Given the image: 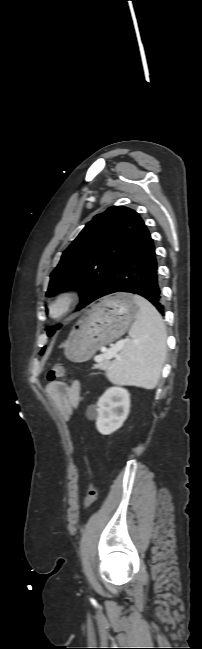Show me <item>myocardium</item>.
<instances>
[{
    "label": "myocardium",
    "instance_id": "myocardium-1",
    "mask_svg": "<svg viewBox=\"0 0 202 649\" xmlns=\"http://www.w3.org/2000/svg\"><path fill=\"white\" fill-rule=\"evenodd\" d=\"M77 299V292L72 289L64 290L50 303V314L53 318L59 319L65 316L73 307Z\"/></svg>",
    "mask_w": 202,
    "mask_h": 649
}]
</instances>
